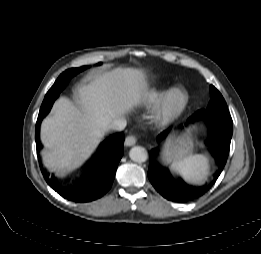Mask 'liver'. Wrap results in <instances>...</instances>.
I'll return each mask as SVG.
<instances>
[{
  "label": "liver",
  "instance_id": "1",
  "mask_svg": "<svg viewBox=\"0 0 261 254\" xmlns=\"http://www.w3.org/2000/svg\"><path fill=\"white\" fill-rule=\"evenodd\" d=\"M147 93L142 70L117 68L79 85L75 103L64 97L58 99L52 115L41 126L46 147L42 153L44 165L61 174L81 165L108 130V124L124 118L145 100Z\"/></svg>",
  "mask_w": 261,
  "mask_h": 254
}]
</instances>
